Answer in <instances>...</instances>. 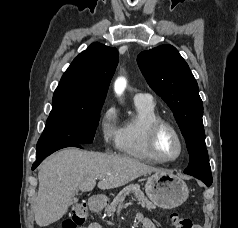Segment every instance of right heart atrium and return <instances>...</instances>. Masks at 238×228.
<instances>
[{"label": "right heart atrium", "instance_id": "d8ad5b80", "mask_svg": "<svg viewBox=\"0 0 238 228\" xmlns=\"http://www.w3.org/2000/svg\"><path fill=\"white\" fill-rule=\"evenodd\" d=\"M102 139L106 147L117 146L120 127L117 124V111L114 107L107 108L100 120Z\"/></svg>", "mask_w": 238, "mask_h": 228}]
</instances>
